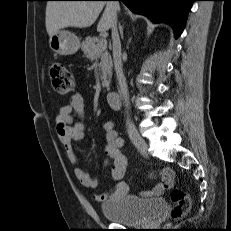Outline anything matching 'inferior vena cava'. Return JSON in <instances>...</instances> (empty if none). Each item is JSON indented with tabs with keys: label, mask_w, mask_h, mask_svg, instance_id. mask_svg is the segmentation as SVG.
<instances>
[{
	"label": "inferior vena cava",
	"mask_w": 231,
	"mask_h": 231,
	"mask_svg": "<svg viewBox=\"0 0 231 231\" xmlns=\"http://www.w3.org/2000/svg\"><path fill=\"white\" fill-rule=\"evenodd\" d=\"M113 4L119 8V3L114 1ZM112 29V41H113V60H114V67L116 71V77L119 85L120 93L123 97V103L126 109L129 108V93L128 87L126 83V78L123 73V66H122V53H121V42L117 30V20L115 19L111 26ZM128 114V111H127ZM126 123L128 125H132L131 120L127 116Z\"/></svg>",
	"instance_id": "inferior-vena-cava-1"
}]
</instances>
